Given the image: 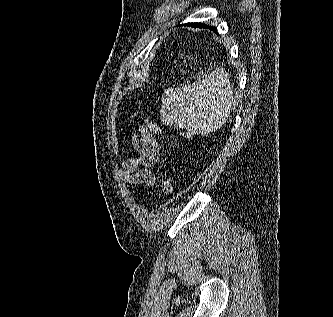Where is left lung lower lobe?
<instances>
[{
  "mask_svg": "<svg viewBox=\"0 0 333 317\" xmlns=\"http://www.w3.org/2000/svg\"><path fill=\"white\" fill-rule=\"evenodd\" d=\"M186 25H189V26H192V27H195V28H206V29H210L214 32H217L216 27L209 26V25H206V24L201 23V22H199V23H193L192 22V23H188Z\"/></svg>",
  "mask_w": 333,
  "mask_h": 317,
  "instance_id": "1",
  "label": "left lung lower lobe"
}]
</instances>
